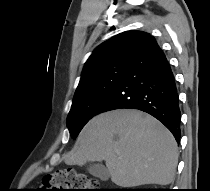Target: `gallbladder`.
<instances>
[{"label": "gallbladder", "mask_w": 210, "mask_h": 191, "mask_svg": "<svg viewBox=\"0 0 210 191\" xmlns=\"http://www.w3.org/2000/svg\"><path fill=\"white\" fill-rule=\"evenodd\" d=\"M88 171L95 177L107 180L109 177L107 169L100 163L92 164L88 167Z\"/></svg>", "instance_id": "bac80fb5"}]
</instances>
